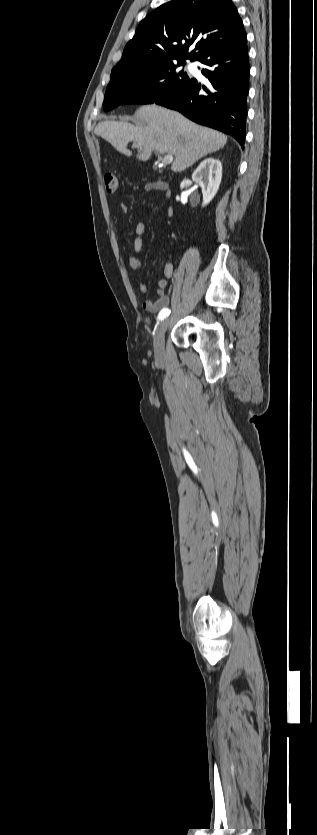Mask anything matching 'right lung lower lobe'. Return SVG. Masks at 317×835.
Listing matches in <instances>:
<instances>
[{"instance_id":"right-lung-lower-lobe-1","label":"right lung lower lobe","mask_w":317,"mask_h":835,"mask_svg":"<svg viewBox=\"0 0 317 835\" xmlns=\"http://www.w3.org/2000/svg\"><path fill=\"white\" fill-rule=\"evenodd\" d=\"M198 61L209 67L202 70L210 81L207 88L191 79L155 103L177 110L196 123L230 134L243 148L250 72L246 39L211 50ZM200 90L205 93L200 94Z\"/></svg>"}]
</instances>
